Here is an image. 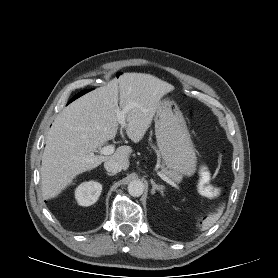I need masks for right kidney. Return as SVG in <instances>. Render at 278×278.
I'll return each mask as SVG.
<instances>
[{
  "label": "right kidney",
  "mask_w": 278,
  "mask_h": 278,
  "mask_svg": "<svg viewBox=\"0 0 278 278\" xmlns=\"http://www.w3.org/2000/svg\"><path fill=\"white\" fill-rule=\"evenodd\" d=\"M102 191V185L96 181L81 183L75 190V198L79 205L90 206L94 204Z\"/></svg>",
  "instance_id": "right-kidney-1"
}]
</instances>
